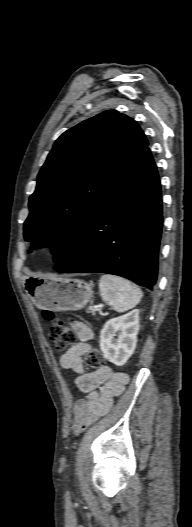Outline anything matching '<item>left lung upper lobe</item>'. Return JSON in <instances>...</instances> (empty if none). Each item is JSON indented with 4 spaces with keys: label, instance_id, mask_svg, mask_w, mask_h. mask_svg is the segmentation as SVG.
I'll return each mask as SVG.
<instances>
[{
    "label": "left lung upper lobe",
    "instance_id": "5c2ea615",
    "mask_svg": "<svg viewBox=\"0 0 192 527\" xmlns=\"http://www.w3.org/2000/svg\"><path fill=\"white\" fill-rule=\"evenodd\" d=\"M147 147L140 126L115 110L64 132L29 198L24 237L32 249L49 245L58 263L107 191Z\"/></svg>",
    "mask_w": 192,
    "mask_h": 527
}]
</instances>
